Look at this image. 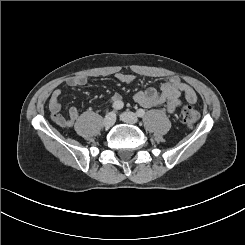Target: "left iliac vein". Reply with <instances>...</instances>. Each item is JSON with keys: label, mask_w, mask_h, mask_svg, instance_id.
Segmentation results:
<instances>
[{"label": "left iliac vein", "mask_w": 245, "mask_h": 245, "mask_svg": "<svg viewBox=\"0 0 245 245\" xmlns=\"http://www.w3.org/2000/svg\"><path fill=\"white\" fill-rule=\"evenodd\" d=\"M121 120L128 124H135L138 122V116L133 112H123L121 114Z\"/></svg>", "instance_id": "4c4485c4"}]
</instances>
